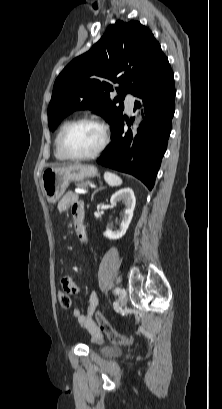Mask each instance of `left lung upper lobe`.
<instances>
[{
	"instance_id": "obj_1",
	"label": "left lung upper lobe",
	"mask_w": 222,
	"mask_h": 409,
	"mask_svg": "<svg viewBox=\"0 0 222 409\" xmlns=\"http://www.w3.org/2000/svg\"><path fill=\"white\" fill-rule=\"evenodd\" d=\"M170 69L152 32L138 21H117L86 53L72 60L57 77L48 107L49 128L78 109L102 115L112 126L122 115L127 93L136 96ZM112 83H118L113 100Z\"/></svg>"
}]
</instances>
